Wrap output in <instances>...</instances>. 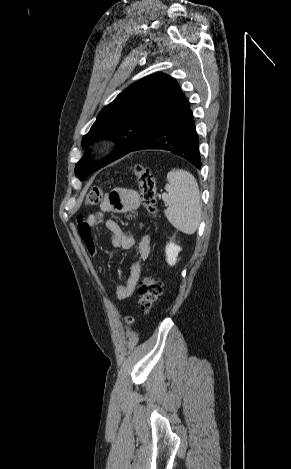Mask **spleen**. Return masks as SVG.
<instances>
[{
    "instance_id": "1",
    "label": "spleen",
    "mask_w": 291,
    "mask_h": 469,
    "mask_svg": "<svg viewBox=\"0 0 291 469\" xmlns=\"http://www.w3.org/2000/svg\"><path fill=\"white\" fill-rule=\"evenodd\" d=\"M163 201L168 205L164 214L168 221L185 234H194L199 227L201 195L195 177L188 171L172 169L167 175Z\"/></svg>"
}]
</instances>
